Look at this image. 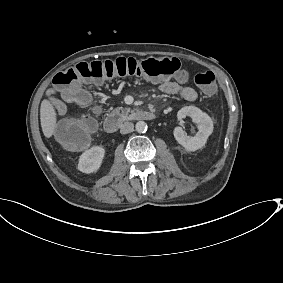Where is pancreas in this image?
Here are the masks:
<instances>
[{
	"instance_id": "obj_1",
	"label": "pancreas",
	"mask_w": 283,
	"mask_h": 283,
	"mask_svg": "<svg viewBox=\"0 0 283 283\" xmlns=\"http://www.w3.org/2000/svg\"><path fill=\"white\" fill-rule=\"evenodd\" d=\"M113 113L118 114L123 121L132 120L135 116V110H131L130 108L118 107L113 110Z\"/></svg>"
}]
</instances>
